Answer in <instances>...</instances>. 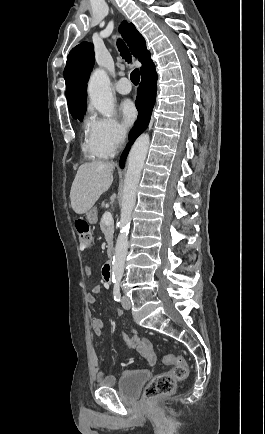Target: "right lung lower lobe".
<instances>
[{
	"label": "right lung lower lobe",
	"instance_id": "1",
	"mask_svg": "<svg viewBox=\"0 0 265 434\" xmlns=\"http://www.w3.org/2000/svg\"><path fill=\"white\" fill-rule=\"evenodd\" d=\"M142 64L143 65L140 69L142 80L138 87V95L135 101L139 115L135 126L130 133L129 143L127 144L120 160L121 168L124 167L125 158L130 149V144H132L134 140L147 128L156 99L157 74L155 66L151 58L145 60Z\"/></svg>",
	"mask_w": 265,
	"mask_h": 434
}]
</instances>
